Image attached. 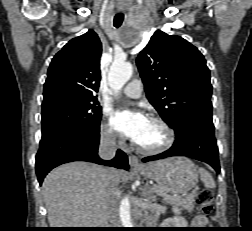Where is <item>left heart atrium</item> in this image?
<instances>
[{"mask_svg":"<svg viewBox=\"0 0 252 231\" xmlns=\"http://www.w3.org/2000/svg\"><path fill=\"white\" fill-rule=\"evenodd\" d=\"M149 122L142 111L119 110L111 118L112 126L122 135L137 141Z\"/></svg>","mask_w":252,"mask_h":231,"instance_id":"1","label":"left heart atrium"}]
</instances>
